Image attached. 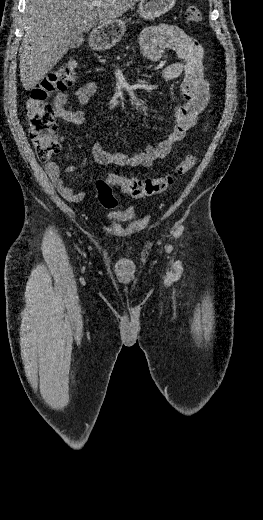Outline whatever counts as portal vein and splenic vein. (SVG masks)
Here are the masks:
<instances>
[{
    "label": "portal vein and splenic vein",
    "mask_w": 263,
    "mask_h": 520,
    "mask_svg": "<svg viewBox=\"0 0 263 520\" xmlns=\"http://www.w3.org/2000/svg\"><path fill=\"white\" fill-rule=\"evenodd\" d=\"M102 5H103L102 2L97 1V2L91 3L89 6L100 7V6H102Z\"/></svg>",
    "instance_id": "portal-vein-and-splenic-vein-1"
}]
</instances>
